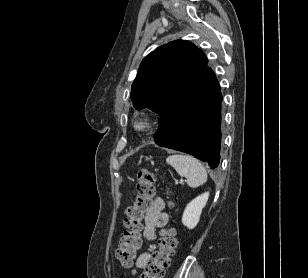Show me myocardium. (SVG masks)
<instances>
[{
  "instance_id": "obj_1",
  "label": "myocardium",
  "mask_w": 308,
  "mask_h": 278,
  "mask_svg": "<svg viewBox=\"0 0 308 278\" xmlns=\"http://www.w3.org/2000/svg\"><path fill=\"white\" fill-rule=\"evenodd\" d=\"M153 127V120L148 116H139L132 122L133 130L140 135L148 134Z\"/></svg>"
}]
</instances>
